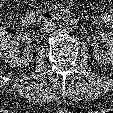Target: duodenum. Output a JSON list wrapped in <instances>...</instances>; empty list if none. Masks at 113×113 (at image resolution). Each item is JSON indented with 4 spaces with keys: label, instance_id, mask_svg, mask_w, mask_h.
I'll return each mask as SVG.
<instances>
[{
    "label": "duodenum",
    "instance_id": "1",
    "mask_svg": "<svg viewBox=\"0 0 113 113\" xmlns=\"http://www.w3.org/2000/svg\"><path fill=\"white\" fill-rule=\"evenodd\" d=\"M71 17V12L67 9H59L53 12L28 13L21 19V24L28 28L39 21H60Z\"/></svg>",
    "mask_w": 113,
    "mask_h": 113
}]
</instances>
